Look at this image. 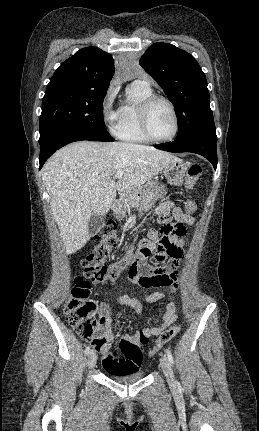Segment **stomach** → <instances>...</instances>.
<instances>
[{"mask_svg": "<svg viewBox=\"0 0 259 431\" xmlns=\"http://www.w3.org/2000/svg\"><path fill=\"white\" fill-rule=\"evenodd\" d=\"M187 169L188 165L179 159L166 165L161 173L169 184L180 186L184 181ZM166 194L167 188L164 184L157 181L148 182L137 192L136 199L132 200L129 204L131 207L139 210H147Z\"/></svg>", "mask_w": 259, "mask_h": 431, "instance_id": "stomach-1", "label": "stomach"}]
</instances>
